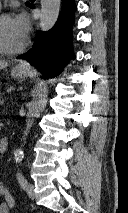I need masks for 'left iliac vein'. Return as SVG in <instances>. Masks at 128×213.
I'll return each instance as SVG.
<instances>
[{"mask_svg":"<svg viewBox=\"0 0 128 213\" xmlns=\"http://www.w3.org/2000/svg\"><path fill=\"white\" fill-rule=\"evenodd\" d=\"M26 192H27V195L31 198V199H34L35 198V191H34V185L29 183L27 185V188H26Z\"/></svg>","mask_w":128,"mask_h":213,"instance_id":"obj_1","label":"left iliac vein"}]
</instances>
